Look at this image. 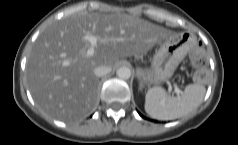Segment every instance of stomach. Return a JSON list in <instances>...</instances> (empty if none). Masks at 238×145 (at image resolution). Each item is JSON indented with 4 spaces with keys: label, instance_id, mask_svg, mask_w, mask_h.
Listing matches in <instances>:
<instances>
[{
    "label": "stomach",
    "instance_id": "0dacf381",
    "mask_svg": "<svg viewBox=\"0 0 238 145\" xmlns=\"http://www.w3.org/2000/svg\"><path fill=\"white\" fill-rule=\"evenodd\" d=\"M196 39L190 32H181L173 37L163 39L156 50L150 67H138L137 76L141 85H161L169 80L182 59L187 58Z\"/></svg>",
    "mask_w": 238,
    "mask_h": 145
}]
</instances>
